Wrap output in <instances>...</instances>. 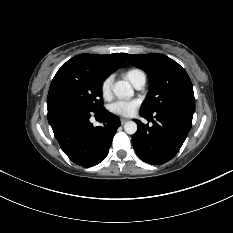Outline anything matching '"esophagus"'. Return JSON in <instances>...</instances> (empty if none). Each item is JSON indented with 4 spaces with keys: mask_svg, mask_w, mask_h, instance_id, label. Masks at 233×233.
<instances>
[{
    "mask_svg": "<svg viewBox=\"0 0 233 233\" xmlns=\"http://www.w3.org/2000/svg\"><path fill=\"white\" fill-rule=\"evenodd\" d=\"M127 121H128V119H126V118H121L120 119L121 124H125Z\"/></svg>",
    "mask_w": 233,
    "mask_h": 233,
    "instance_id": "34e87169",
    "label": "esophagus"
}]
</instances>
